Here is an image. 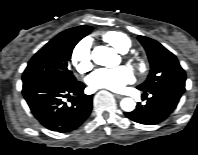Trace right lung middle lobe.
Returning a JSON list of instances; mask_svg holds the SVG:
<instances>
[{
	"instance_id": "dd1d6c3e",
	"label": "right lung middle lobe",
	"mask_w": 198,
	"mask_h": 155,
	"mask_svg": "<svg viewBox=\"0 0 198 155\" xmlns=\"http://www.w3.org/2000/svg\"><path fill=\"white\" fill-rule=\"evenodd\" d=\"M92 31L82 26L66 33H60L40 49L29 61L23 73V82L48 80L64 85L77 82L69 69L72 50L83 37Z\"/></svg>"
}]
</instances>
